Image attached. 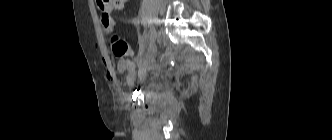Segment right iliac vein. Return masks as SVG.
I'll return each instance as SVG.
<instances>
[{"label": "right iliac vein", "instance_id": "63e3f726", "mask_svg": "<svg viewBox=\"0 0 332 140\" xmlns=\"http://www.w3.org/2000/svg\"><path fill=\"white\" fill-rule=\"evenodd\" d=\"M155 40H156V33L154 30H152V32L150 34V38H149V43H148V52H150V50L153 48V46L155 44Z\"/></svg>", "mask_w": 332, "mask_h": 140}]
</instances>
